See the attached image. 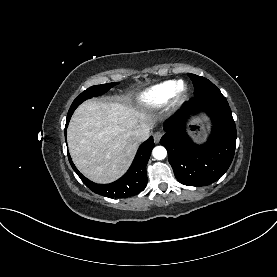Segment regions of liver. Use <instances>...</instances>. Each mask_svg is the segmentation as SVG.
<instances>
[{
  "instance_id": "liver-1",
  "label": "liver",
  "mask_w": 277,
  "mask_h": 277,
  "mask_svg": "<svg viewBox=\"0 0 277 277\" xmlns=\"http://www.w3.org/2000/svg\"><path fill=\"white\" fill-rule=\"evenodd\" d=\"M150 117L119 102L88 100L74 112L67 130L70 155L78 170L96 183H110L130 166L138 142L133 133Z\"/></svg>"
}]
</instances>
